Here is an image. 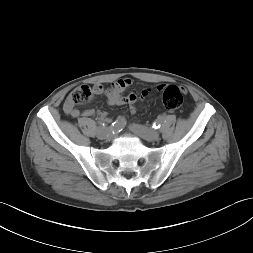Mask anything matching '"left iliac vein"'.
Returning <instances> with one entry per match:
<instances>
[{
    "instance_id": "1",
    "label": "left iliac vein",
    "mask_w": 253,
    "mask_h": 253,
    "mask_svg": "<svg viewBox=\"0 0 253 253\" xmlns=\"http://www.w3.org/2000/svg\"><path fill=\"white\" fill-rule=\"evenodd\" d=\"M129 129L147 141H158L160 139V134L157 131L149 130L139 124H131Z\"/></svg>"
}]
</instances>
